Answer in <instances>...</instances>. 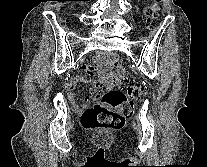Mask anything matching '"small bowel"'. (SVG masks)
Segmentation results:
<instances>
[{
  "label": "small bowel",
  "mask_w": 207,
  "mask_h": 167,
  "mask_svg": "<svg viewBox=\"0 0 207 167\" xmlns=\"http://www.w3.org/2000/svg\"><path fill=\"white\" fill-rule=\"evenodd\" d=\"M78 83L88 84L90 86L91 92L96 93L104 87V82L102 80H95L92 78H88V77L79 75V76L71 78L66 83L65 89H66L67 97H68L70 103L72 104V106L75 110L81 111L83 108H87L92 104V102L94 101V97L93 96L87 97L85 99L84 105L81 107L77 103L75 93H74V88H75L76 84H78Z\"/></svg>",
  "instance_id": "obj_1"
}]
</instances>
